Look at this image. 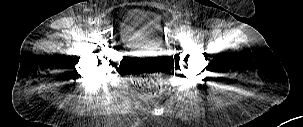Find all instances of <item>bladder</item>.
<instances>
[{
	"label": "bladder",
	"instance_id": "obj_1",
	"mask_svg": "<svg viewBox=\"0 0 303 127\" xmlns=\"http://www.w3.org/2000/svg\"><path fill=\"white\" fill-rule=\"evenodd\" d=\"M119 35L122 42L128 46H161L163 43L161 18L152 10L132 8L120 21Z\"/></svg>",
	"mask_w": 303,
	"mask_h": 127
}]
</instances>
